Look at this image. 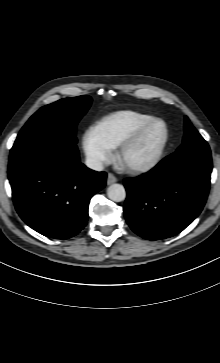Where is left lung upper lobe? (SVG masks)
Wrapping results in <instances>:
<instances>
[{"instance_id": "5c2ea615", "label": "left lung upper lobe", "mask_w": 220, "mask_h": 363, "mask_svg": "<svg viewBox=\"0 0 220 363\" xmlns=\"http://www.w3.org/2000/svg\"><path fill=\"white\" fill-rule=\"evenodd\" d=\"M184 130H185V135L183 138V143L177 150H181L188 147L209 148L207 142L192 126L187 117L185 118Z\"/></svg>"}]
</instances>
